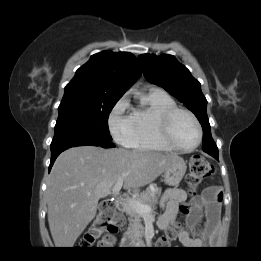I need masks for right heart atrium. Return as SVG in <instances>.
Returning <instances> with one entry per match:
<instances>
[{
	"label": "right heart atrium",
	"mask_w": 261,
	"mask_h": 261,
	"mask_svg": "<svg viewBox=\"0 0 261 261\" xmlns=\"http://www.w3.org/2000/svg\"><path fill=\"white\" fill-rule=\"evenodd\" d=\"M128 101L121 97L109 116V129L113 138L120 144L129 145L133 136V124L130 115L126 114Z\"/></svg>",
	"instance_id": "right-heart-atrium-1"
}]
</instances>
